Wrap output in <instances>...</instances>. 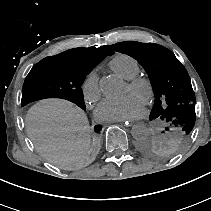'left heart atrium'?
<instances>
[{
  "instance_id": "1",
  "label": "left heart atrium",
  "mask_w": 211,
  "mask_h": 211,
  "mask_svg": "<svg viewBox=\"0 0 211 211\" xmlns=\"http://www.w3.org/2000/svg\"><path fill=\"white\" fill-rule=\"evenodd\" d=\"M144 113V102L135 94L104 99L95 110V116L99 121L138 119Z\"/></svg>"
}]
</instances>
